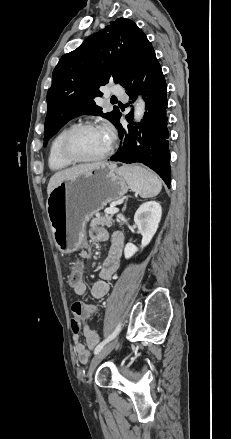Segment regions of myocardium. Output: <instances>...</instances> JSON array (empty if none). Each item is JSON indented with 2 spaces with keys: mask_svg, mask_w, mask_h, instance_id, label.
Instances as JSON below:
<instances>
[{
  "mask_svg": "<svg viewBox=\"0 0 231 439\" xmlns=\"http://www.w3.org/2000/svg\"><path fill=\"white\" fill-rule=\"evenodd\" d=\"M94 128H102L103 127L94 122H84L69 128L66 133L63 135L60 142V153L62 157L72 164H82V163H94L99 162L106 159L114 149V139L113 137L110 139L109 146L107 149L99 156L92 158H82L75 154L72 148V140L76 134L86 129H94Z\"/></svg>",
  "mask_w": 231,
  "mask_h": 439,
  "instance_id": "myocardium-1",
  "label": "myocardium"
}]
</instances>
